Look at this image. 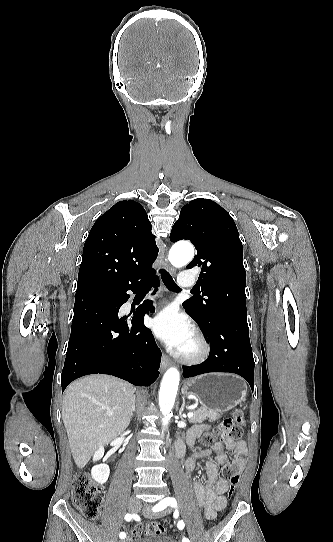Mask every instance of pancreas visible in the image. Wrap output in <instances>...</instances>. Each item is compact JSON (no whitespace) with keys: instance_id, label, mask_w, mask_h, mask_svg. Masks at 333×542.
<instances>
[{"instance_id":"pancreas-1","label":"pancreas","mask_w":333,"mask_h":542,"mask_svg":"<svg viewBox=\"0 0 333 542\" xmlns=\"http://www.w3.org/2000/svg\"><path fill=\"white\" fill-rule=\"evenodd\" d=\"M191 412H194V416L193 418H189L188 422L190 424H202L205 420L215 422V420H219L223 416V412H219V410H207V408H195Z\"/></svg>"}]
</instances>
